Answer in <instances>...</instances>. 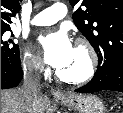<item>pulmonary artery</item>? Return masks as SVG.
Segmentation results:
<instances>
[{
    "label": "pulmonary artery",
    "mask_w": 123,
    "mask_h": 113,
    "mask_svg": "<svg viewBox=\"0 0 123 113\" xmlns=\"http://www.w3.org/2000/svg\"><path fill=\"white\" fill-rule=\"evenodd\" d=\"M67 14V8L63 3H54L49 8L36 14L31 20L32 25L46 26L56 23Z\"/></svg>",
    "instance_id": "pulmonary-artery-1"
}]
</instances>
